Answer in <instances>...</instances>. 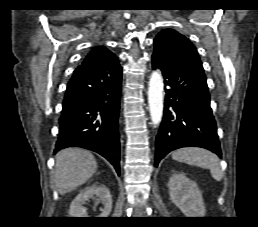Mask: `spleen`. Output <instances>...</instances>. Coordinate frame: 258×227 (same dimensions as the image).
Masks as SVG:
<instances>
[{
	"label": "spleen",
	"instance_id": "obj_1",
	"mask_svg": "<svg viewBox=\"0 0 258 227\" xmlns=\"http://www.w3.org/2000/svg\"><path fill=\"white\" fill-rule=\"evenodd\" d=\"M172 158L186 164L208 168L215 180L220 181L222 179L219 158L208 150L201 148H182L175 151L172 154Z\"/></svg>",
	"mask_w": 258,
	"mask_h": 227
}]
</instances>
